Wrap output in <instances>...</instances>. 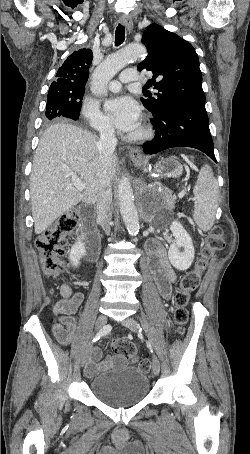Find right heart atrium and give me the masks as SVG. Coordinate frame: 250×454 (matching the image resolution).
I'll return each mask as SVG.
<instances>
[{"instance_id":"right-heart-atrium-1","label":"right heart atrium","mask_w":250,"mask_h":454,"mask_svg":"<svg viewBox=\"0 0 250 454\" xmlns=\"http://www.w3.org/2000/svg\"><path fill=\"white\" fill-rule=\"evenodd\" d=\"M81 114L93 130L102 134H110L113 132L109 120L94 104L85 102L82 106Z\"/></svg>"}]
</instances>
